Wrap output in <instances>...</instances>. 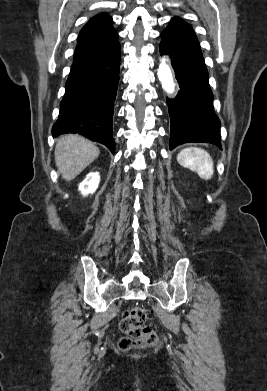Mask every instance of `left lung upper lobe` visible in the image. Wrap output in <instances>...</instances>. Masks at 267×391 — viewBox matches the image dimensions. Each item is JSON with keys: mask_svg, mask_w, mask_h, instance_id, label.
<instances>
[{"mask_svg": "<svg viewBox=\"0 0 267 391\" xmlns=\"http://www.w3.org/2000/svg\"><path fill=\"white\" fill-rule=\"evenodd\" d=\"M169 25H172V26H175V27H178L180 29H183L185 31H188L192 34H194V31L191 27V25H189L188 23L184 22L182 19L178 18V17H175L171 20V23ZM195 35V34H194Z\"/></svg>", "mask_w": 267, "mask_h": 391, "instance_id": "1", "label": "left lung upper lobe"}]
</instances>
